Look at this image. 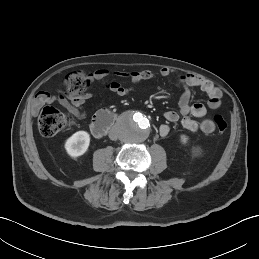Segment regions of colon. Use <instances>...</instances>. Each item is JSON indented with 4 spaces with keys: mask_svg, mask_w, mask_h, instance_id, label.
I'll return each instance as SVG.
<instances>
[{
    "mask_svg": "<svg viewBox=\"0 0 259 259\" xmlns=\"http://www.w3.org/2000/svg\"><path fill=\"white\" fill-rule=\"evenodd\" d=\"M90 77L84 72H74L66 76L64 83L66 95L70 98H77L82 95L89 85ZM70 122L67 114L55 107L43 108L38 119V127L41 135L51 137L63 130ZM213 123L218 133H225L228 124L223 116L215 115Z\"/></svg>",
    "mask_w": 259,
    "mask_h": 259,
    "instance_id": "5ec220e1",
    "label": "colon"
}]
</instances>
